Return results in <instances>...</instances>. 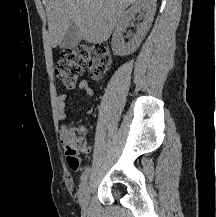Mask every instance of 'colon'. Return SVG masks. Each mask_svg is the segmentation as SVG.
I'll list each match as a JSON object with an SVG mask.
<instances>
[{"instance_id": "colon-1", "label": "colon", "mask_w": 216, "mask_h": 217, "mask_svg": "<svg viewBox=\"0 0 216 217\" xmlns=\"http://www.w3.org/2000/svg\"><path fill=\"white\" fill-rule=\"evenodd\" d=\"M110 66L111 53L106 45L80 44L62 52L61 59L55 63L54 73L66 87L71 88L76 84L85 67L89 69L94 79H101ZM65 145L67 163L72 170L76 171L80 166V154L87 149V142L76 129L70 128Z\"/></svg>"}]
</instances>
